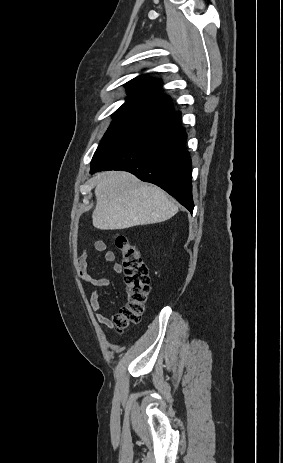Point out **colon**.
Masks as SVG:
<instances>
[{
  "mask_svg": "<svg viewBox=\"0 0 283 463\" xmlns=\"http://www.w3.org/2000/svg\"><path fill=\"white\" fill-rule=\"evenodd\" d=\"M115 245L122 257L126 301L115 316L119 330L139 322L145 312L150 294L148 269L137 247L124 235L115 236Z\"/></svg>",
  "mask_w": 283,
  "mask_h": 463,
  "instance_id": "1",
  "label": "colon"
}]
</instances>
